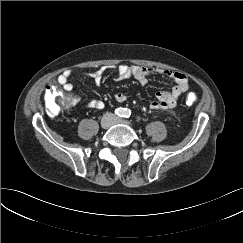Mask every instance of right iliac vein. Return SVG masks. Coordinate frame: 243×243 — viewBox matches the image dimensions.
Here are the masks:
<instances>
[{
	"label": "right iliac vein",
	"mask_w": 243,
	"mask_h": 243,
	"mask_svg": "<svg viewBox=\"0 0 243 243\" xmlns=\"http://www.w3.org/2000/svg\"><path fill=\"white\" fill-rule=\"evenodd\" d=\"M112 125V118L109 115H106L101 120V127L104 129L109 128Z\"/></svg>",
	"instance_id": "right-iliac-vein-1"
}]
</instances>
